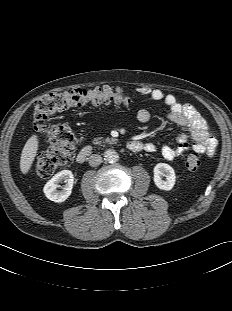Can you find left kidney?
<instances>
[{
  "instance_id": "1",
  "label": "left kidney",
  "mask_w": 232,
  "mask_h": 311,
  "mask_svg": "<svg viewBox=\"0 0 232 311\" xmlns=\"http://www.w3.org/2000/svg\"><path fill=\"white\" fill-rule=\"evenodd\" d=\"M154 183L161 189L169 191L173 188L176 181V176L174 169L166 163H158L155 165L154 169ZM166 177V180H163Z\"/></svg>"
}]
</instances>
